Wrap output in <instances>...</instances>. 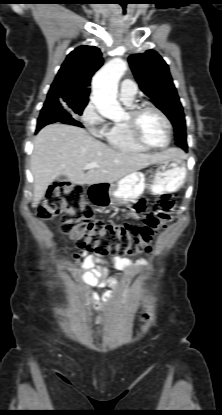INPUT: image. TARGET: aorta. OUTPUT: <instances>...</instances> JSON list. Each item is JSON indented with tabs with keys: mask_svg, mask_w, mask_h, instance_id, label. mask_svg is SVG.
Masks as SVG:
<instances>
[{
	"mask_svg": "<svg viewBox=\"0 0 222 415\" xmlns=\"http://www.w3.org/2000/svg\"><path fill=\"white\" fill-rule=\"evenodd\" d=\"M127 70V63L114 58L106 63L93 77L92 101L98 112L109 119L123 116V109L117 101L118 82Z\"/></svg>",
	"mask_w": 222,
	"mask_h": 415,
	"instance_id": "obj_1",
	"label": "aorta"
}]
</instances>
